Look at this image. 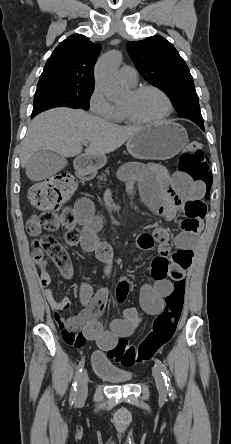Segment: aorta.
<instances>
[{"instance_id":"aorta-1","label":"aorta","mask_w":231,"mask_h":444,"mask_svg":"<svg viewBox=\"0 0 231 444\" xmlns=\"http://www.w3.org/2000/svg\"><path fill=\"white\" fill-rule=\"evenodd\" d=\"M121 59L122 55L119 51H111L101 57L96 64V83L110 101H117L125 92L117 76Z\"/></svg>"}]
</instances>
